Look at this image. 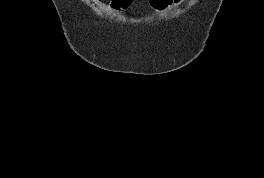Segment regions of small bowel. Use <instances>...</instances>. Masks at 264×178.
<instances>
[{
  "mask_svg": "<svg viewBox=\"0 0 264 178\" xmlns=\"http://www.w3.org/2000/svg\"><path fill=\"white\" fill-rule=\"evenodd\" d=\"M95 2H100V1H102V0H94ZM185 0H171V4L170 5H175V6H179V5H181L183 2H184ZM133 3V0H132V2H131V4ZM130 4V5H131ZM130 5H129V7H130Z\"/></svg>",
  "mask_w": 264,
  "mask_h": 178,
  "instance_id": "obj_1",
  "label": "small bowel"
}]
</instances>
